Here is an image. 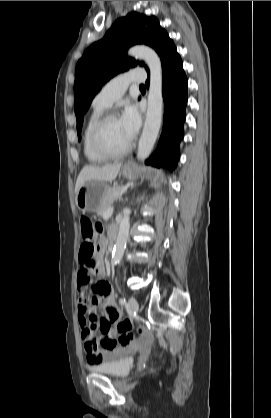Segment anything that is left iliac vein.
I'll list each match as a JSON object with an SVG mask.
<instances>
[{
  "mask_svg": "<svg viewBox=\"0 0 271 418\" xmlns=\"http://www.w3.org/2000/svg\"><path fill=\"white\" fill-rule=\"evenodd\" d=\"M128 308L131 314H136L138 312L139 305L133 296H131L128 300Z\"/></svg>",
  "mask_w": 271,
  "mask_h": 418,
  "instance_id": "left-iliac-vein-1",
  "label": "left iliac vein"
}]
</instances>
